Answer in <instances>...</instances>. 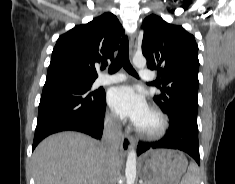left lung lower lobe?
I'll return each instance as SVG.
<instances>
[{"mask_svg":"<svg viewBox=\"0 0 235 184\" xmlns=\"http://www.w3.org/2000/svg\"><path fill=\"white\" fill-rule=\"evenodd\" d=\"M170 128L166 136L159 142L153 144L139 143L137 155L149 148L177 149L188 153L200 164L197 117L185 112L178 111L168 114Z\"/></svg>","mask_w":235,"mask_h":184,"instance_id":"0a47b994","label":"left lung lower lobe"}]
</instances>
